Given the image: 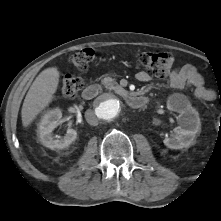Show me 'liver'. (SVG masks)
Segmentation results:
<instances>
[{"mask_svg": "<svg viewBox=\"0 0 221 221\" xmlns=\"http://www.w3.org/2000/svg\"><path fill=\"white\" fill-rule=\"evenodd\" d=\"M59 76L58 69L50 67L36 77L22 105L21 117L24 127L29 126L36 116L50 104L59 84Z\"/></svg>", "mask_w": 221, "mask_h": 221, "instance_id": "liver-1", "label": "liver"}]
</instances>
